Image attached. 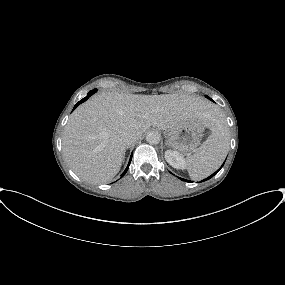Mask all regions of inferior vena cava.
<instances>
[{"label":"inferior vena cava","mask_w":285,"mask_h":285,"mask_svg":"<svg viewBox=\"0 0 285 285\" xmlns=\"http://www.w3.org/2000/svg\"><path fill=\"white\" fill-rule=\"evenodd\" d=\"M138 139L136 134H124L122 137V142L125 146H130L131 144H133L136 140Z\"/></svg>","instance_id":"obj_1"}]
</instances>
